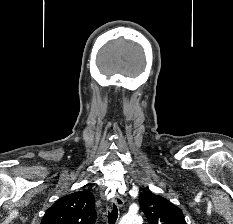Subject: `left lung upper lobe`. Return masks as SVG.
<instances>
[{"mask_svg":"<svg viewBox=\"0 0 233 224\" xmlns=\"http://www.w3.org/2000/svg\"><path fill=\"white\" fill-rule=\"evenodd\" d=\"M139 203L149 224H187L180 208L150 191L140 195Z\"/></svg>","mask_w":233,"mask_h":224,"instance_id":"obj_1","label":"left lung upper lobe"}]
</instances>
